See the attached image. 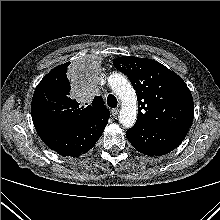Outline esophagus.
<instances>
[{
    "instance_id": "obj_1",
    "label": "esophagus",
    "mask_w": 220,
    "mask_h": 220,
    "mask_svg": "<svg viewBox=\"0 0 220 220\" xmlns=\"http://www.w3.org/2000/svg\"><path fill=\"white\" fill-rule=\"evenodd\" d=\"M118 113H119V109H118V108H114V109L111 110V114H112L113 116H117Z\"/></svg>"
}]
</instances>
